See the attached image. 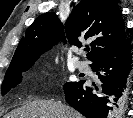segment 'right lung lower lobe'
Returning a JSON list of instances; mask_svg holds the SVG:
<instances>
[{"mask_svg":"<svg viewBox=\"0 0 133 118\" xmlns=\"http://www.w3.org/2000/svg\"><path fill=\"white\" fill-rule=\"evenodd\" d=\"M92 62L100 86L79 81L63 87L66 101L86 118H117L123 112L131 77L130 40L101 53Z\"/></svg>","mask_w":133,"mask_h":118,"instance_id":"obj_1","label":"right lung lower lobe"}]
</instances>
